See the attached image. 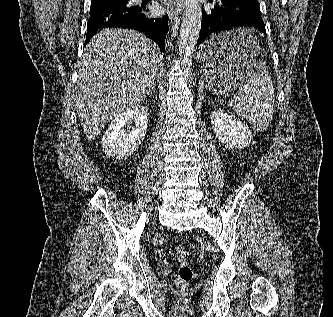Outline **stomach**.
Segmentation results:
<instances>
[{
    "label": "stomach",
    "instance_id": "1",
    "mask_svg": "<svg viewBox=\"0 0 333 317\" xmlns=\"http://www.w3.org/2000/svg\"><path fill=\"white\" fill-rule=\"evenodd\" d=\"M218 29V33H207V40L200 49V62H205L203 81L199 88L212 94H225L249 81V74H261L256 69H266V62L258 60L259 46L255 29Z\"/></svg>",
    "mask_w": 333,
    "mask_h": 317
}]
</instances>
